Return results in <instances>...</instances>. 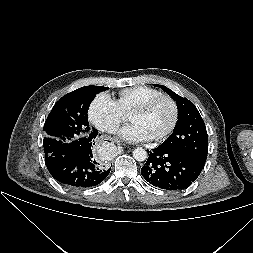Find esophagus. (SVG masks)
<instances>
[{"mask_svg":"<svg viewBox=\"0 0 253 253\" xmlns=\"http://www.w3.org/2000/svg\"><path fill=\"white\" fill-rule=\"evenodd\" d=\"M111 143L115 144L118 147L121 145V143L119 141H117V140H111Z\"/></svg>","mask_w":253,"mask_h":253,"instance_id":"obj_1","label":"esophagus"}]
</instances>
